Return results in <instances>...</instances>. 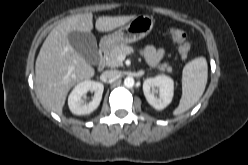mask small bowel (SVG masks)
I'll use <instances>...</instances> for the list:
<instances>
[{"instance_id": "obj_1", "label": "small bowel", "mask_w": 248, "mask_h": 165, "mask_svg": "<svg viewBox=\"0 0 248 165\" xmlns=\"http://www.w3.org/2000/svg\"><path fill=\"white\" fill-rule=\"evenodd\" d=\"M143 54L151 65H156L164 55L163 49H156L152 45L143 48Z\"/></svg>"}]
</instances>
